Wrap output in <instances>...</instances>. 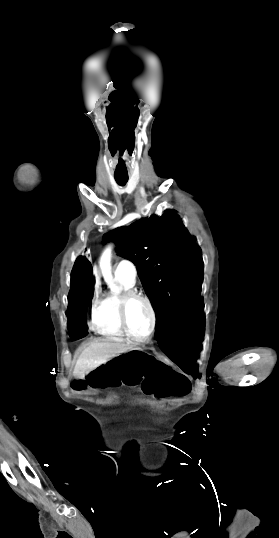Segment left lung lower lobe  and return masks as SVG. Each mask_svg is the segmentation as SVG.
I'll use <instances>...</instances> for the list:
<instances>
[{"instance_id":"obj_1","label":"left lung lower lobe","mask_w":279,"mask_h":538,"mask_svg":"<svg viewBox=\"0 0 279 538\" xmlns=\"http://www.w3.org/2000/svg\"><path fill=\"white\" fill-rule=\"evenodd\" d=\"M205 317L177 333L155 334L159 347L186 373L198 377L195 362L204 337Z\"/></svg>"}]
</instances>
